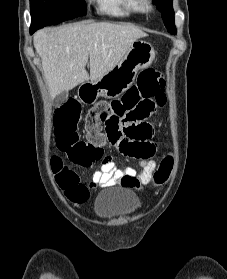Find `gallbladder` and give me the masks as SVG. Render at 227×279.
I'll return each mask as SVG.
<instances>
[{"label":"gallbladder","mask_w":227,"mask_h":279,"mask_svg":"<svg viewBox=\"0 0 227 279\" xmlns=\"http://www.w3.org/2000/svg\"><path fill=\"white\" fill-rule=\"evenodd\" d=\"M68 99V92L64 91L57 95L53 101L55 107H60Z\"/></svg>","instance_id":"gallbladder-1"}]
</instances>
